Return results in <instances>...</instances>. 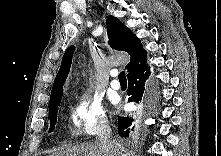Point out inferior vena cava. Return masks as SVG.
<instances>
[{"mask_svg": "<svg viewBox=\"0 0 221 156\" xmlns=\"http://www.w3.org/2000/svg\"><path fill=\"white\" fill-rule=\"evenodd\" d=\"M111 129L107 127L105 131H102V133L99 135L98 142L100 145L105 148L107 151L112 150L114 148V145L118 142H111Z\"/></svg>", "mask_w": 221, "mask_h": 156, "instance_id": "obj_1", "label": "inferior vena cava"}]
</instances>
